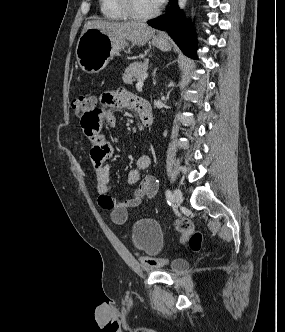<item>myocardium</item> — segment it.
Here are the masks:
<instances>
[{
  "mask_svg": "<svg viewBox=\"0 0 285 332\" xmlns=\"http://www.w3.org/2000/svg\"><path fill=\"white\" fill-rule=\"evenodd\" d=\"M118 2H119L120 7L122 8V10L125 12V14L129 18L136 20V21L150 20V19L156 17L160 12V9L157 7L154 11H152L150 13L142 14L137 11L134 0H118Z\"/></svg>",
  "mask_w": 285,
  "mask_h": 332,
  "instance_id": "obj_1",
  "label": "myocardium"
}]
</instances>
